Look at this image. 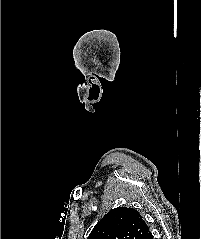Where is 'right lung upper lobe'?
Segmentation results:
<instances>
[{
  "label": "right lung upper lobe",
  "instance_id": "obj_1",
  "mask_svg": "<svg viewBox=\"0 0 201 239\" xmlns=\"http://www.w3.org/2000/svg\"><path fill=\"white\" fill-rule=\"evenodd\" d=\"M87 239H153V236L136 209L118 207L104 215Z\"/></svg>",
  "mask_w": 201,
  "mask_h": 239
}]
</instances>
